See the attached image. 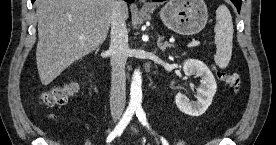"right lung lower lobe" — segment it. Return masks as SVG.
Wrapping results in <instances>:
<instances>
[{
    "label": "right lung lower lobe",
    "instance_id": "obj_1",
    "mask_svg": "<svg viewBox=\"0 0 276 145\" xmlns=\"http://www.w3.org/2000/svg\"><path fill=\"white\" fill-rule=\"evenodd\" d=\"M32 1V3L35 1V0H31ZM126 2H128V3H132L134 0H125Z\"/></svg>",
    "mask_w": 276,
    "mask_h": 145
}]
</instances>
